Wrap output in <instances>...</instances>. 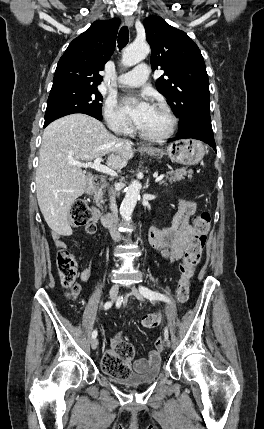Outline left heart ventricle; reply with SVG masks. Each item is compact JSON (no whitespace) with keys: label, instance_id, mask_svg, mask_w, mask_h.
Instances as JSON below:
<instances>
[{"label":"left heart ventricle","instance_id":"left-heart-ventricle-1","mask_svg":"<svg viewBox=\"0 0 264 429\" xmlns=\"http://www.w3.org/2000/svg\"><path fill=\"white\" fill-rule=\"evenodd\" d=\"M168 125L167 116L161 110L152 107L139 129L147 135H160L167 130Z\"/></svg>","mask_w":264,"mask_h":429}]
</instances>
